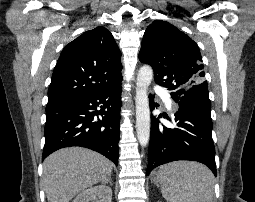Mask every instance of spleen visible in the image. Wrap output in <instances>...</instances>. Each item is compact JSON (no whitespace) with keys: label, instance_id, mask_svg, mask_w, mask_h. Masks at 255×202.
<instances>
[{"label":"spleen","instance_id":"1","mask_svg":"<svg viewBox=\"0 0 255 202\" xmlns=\"http://www.w3.org/2000/svg\"><path fill=\"white\" fill-rule=\"evenodd\" d=\"M161 192L168 202H212L214 176L196 162L178 161L160 167Z\"/></svg>","mask_w":255,"mask_h":202}]
</instances>
